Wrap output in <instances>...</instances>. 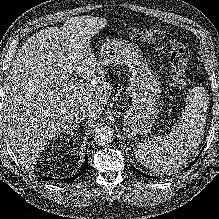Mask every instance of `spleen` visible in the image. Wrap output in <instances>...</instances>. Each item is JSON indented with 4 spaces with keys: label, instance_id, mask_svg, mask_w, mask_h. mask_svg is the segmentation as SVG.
Wrapping results in <instances>:
<instances>
[{
    "label": "spleen",
    "instance_id": "3e777b00",
    "mask_svg": "<svg viewBox=\"0 0 219 219\" xmlns=\"http://www.w3.org/2000/svg\"><path fill=\"white\" fill-rule=\"evenodd\" d=\"M202 88H195L187 97V105L169 135L148 138L135 143L136 159L155 175L177 171L198 147L204 133L207 98Z\"/></svg>",
    "mask_w": 219,
    "mask_h": 219
}]
</instances>
